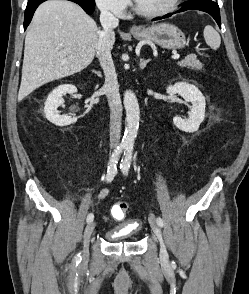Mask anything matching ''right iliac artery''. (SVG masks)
<instances>
[{
  "instance_id": "right-iliac-artery-1",
  "label": "right iliac artery",
  "mask_w": 249,
  "mask_h": 294,
  "mask_svg": "<svg viewBox=\"0 0 249 294\" xmlns=\"http://www.w3.org/2000/svg\"><path fill=\"white\" fill-rule=\"evenodd\" d=\"M126 148L125 145H119L116 147L114 152L111 155L110 161L108 163V169L106 174V181L111 182L114 178V176L117 174V163L119 159V155L123 152V150ZM94 219V215L92 213L88 214L87 216V222H92ZM76 262H81V255L80 253L75 256Z\"/></svg>"
}]
</instances>
